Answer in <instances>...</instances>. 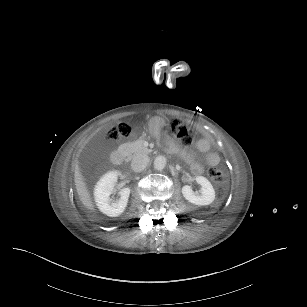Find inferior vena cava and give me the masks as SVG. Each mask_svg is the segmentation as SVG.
<instances>
[{
	"mask_svg": "<svg viewBox=\"0 0 307 307\" xmlns=\"http://www.w3.org/2000/svg\"><path fill=\"white\" fill-rule=\"evenodd\" d=\"M147 164L148 161L144 156L136 155L131 162V168L134 172H141L146 168Z\"/></svg>",
	"mask_w": 307,
	"mask_h": 307,
	"instance_id": "1",
	"label": "inferior vena cava"
}]
</instances>
